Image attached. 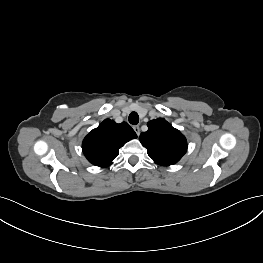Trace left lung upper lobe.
<instances>
[{"mask_svg":"<svg viewBox=\"0 0 263 263\" xmlns=\"http://www.w3.org/2000/svg\"><path fill=\"white\" fill-rule=\"evenodd\" d=\"M147 125L148 131L141 133L139 140L148 155L159 165L177 163L187 151L185 136L163 118L151 120Z\"/></svg>","mask_w":263,"mask_h":263,"instance_id":"1","label":"left lung upper lobe"}]
</instances>
